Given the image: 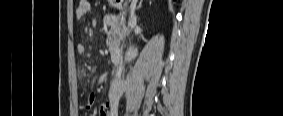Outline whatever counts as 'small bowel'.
<instances>
[{
  "label": "small bowel",
  "instance_id": "c3829d8e",
  "mask_svg": "<svg viewBox=\"0 0 283 116\" xmlns=\"http://www.w3.org/2000/svg\"><path fill=\"white\" fill-rule=\"evenodd\" d=\"M90 10V1L88 0H80L78 1V6L75 10V16L79 19L84 18ZM77 52L81 55L86 53L85 46L83 44H78ZM96 95L91 93L87 96L86 103L84 105V109L89 110L91 109L96 102ZM117 114V107L116 103L113 100H107L100 108L99 115L101 116H116Z\"/></svg>",
  "mask_w": 283,
  "mask_h": 116
}]
</instances>
